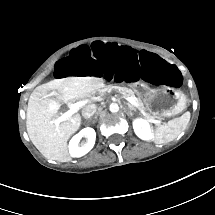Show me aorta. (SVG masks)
Masks as SVG:
<instances>
[{
    "instance_id": "762f6f07",
    "label": "aorta",
    "mask_w": 215,
    "mask_h": 215,
    "mask_svg": "<svg viewBox=\"0 0 215 215\" xmlns=\"http://www.w3.org/2000/svg\"><path fill=\"white\" fill-rule=\"evenodd\" d=\"M109 110H110V112H118V110H119V106H118V104L117 103H111L110 105H109Z\"/></svg>"
}]
</instances>
